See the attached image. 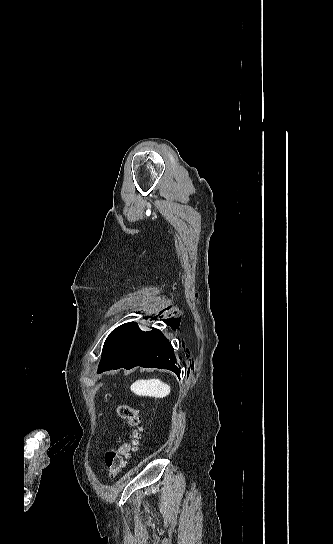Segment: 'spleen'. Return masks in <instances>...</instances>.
<instances>
[{"mask_svg": "<svg viewBox=\"0 0 333 544\" xmlns=\"http://www.w3.org/2000/svg\"><path fill=\"white\" fill-rule=\"evenodd\" d=\"M131 391L138 396L164 398L171 392V387L159 379L138 380L131 385Z\"/></svg>", "mask_w": 333, "mask_h": 544, "instance_id": "3e777b00", "label": "spleen"}]
</instances>
